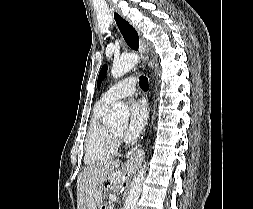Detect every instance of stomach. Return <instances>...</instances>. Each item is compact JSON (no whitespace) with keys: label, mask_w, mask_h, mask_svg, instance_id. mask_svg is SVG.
Masks as SVG:
<instances>
[{"label":"stomach","mask_w":253,"mask_h":209,"mask_svg":"<svg viewBox=\"0 0 253 209\" xmlns=\"http://www.w3.org/2000/svg\"><path fill=\"white\" fill-rule=\"evenodd\" d=\"M102 190V202H99L97 209H110V202L108 201L107 196L110 194V187H113V182L110 181H101Z\"/></svg>","instance_id":"0dacf381"}]
</instances>
